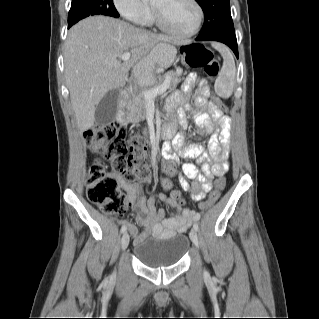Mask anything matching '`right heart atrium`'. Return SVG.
I'll use <instances>...</instances> for the list:
<instances>
[{"label":"right heart atrium","mask_w":319,"mask_h":319,"mask_svg":"<svg viewBox=\"0 0 319 319\" xmlns=\"http://www.w3.org/2000/svg\"><path fill=\"white\" fill-rule=\"evenodd\" d=\"M118 12L127 20L147 24L150 15V8L142 0H114Z\"/></svg>","instance_id":"1"}]
</instances>
